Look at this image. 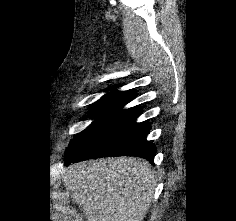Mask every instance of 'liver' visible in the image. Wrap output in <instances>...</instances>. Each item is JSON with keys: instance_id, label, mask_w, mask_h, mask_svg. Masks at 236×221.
<instances>
[{"instance_id": "1", "label": "liver", "mask_w": 236, "mask_h": 221, "mask_svg": "<svg viewBox=\"0 0 236 221\" xmlns=\"http://www.w3.org/2000/svg\"><path fill=\"white\" fill-rule=\"evenodd\" d=\"M63 182L86 221H143L156 185L151 165L132 157L71 164Z\"/></svg>"}]
</instances>
